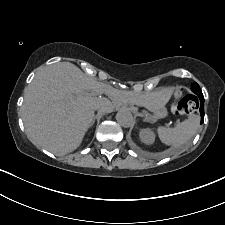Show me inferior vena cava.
Segmentation results:
<instances>
[{"label":"inferior vena cava","instance_id":"inferior-vena-cava-1","mask_svg":"<svg viewBox=\"0 0 225 225\" xmlns=\"http://www.w3.org/2000/svg\"><path fill=\"white\" fill-rule=\"evenodd\" d=\"M96 109H102L100 106H97Z\"/></svg>","mask_w":225,"mask_h":225}]
</instances>
